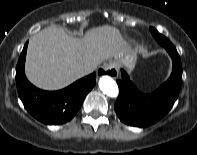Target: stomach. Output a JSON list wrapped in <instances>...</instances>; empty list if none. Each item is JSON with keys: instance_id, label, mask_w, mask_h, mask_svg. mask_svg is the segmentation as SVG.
Returning a JSON list of instances; mask_svg holds the SVG:
<instances>
[{"instance_id": "1", "label": "stomach", "mask_w": 197, "mask_h": 155, "mask_svg": "<svg viewBox=\"0 0 197 155\" xmlns=\"http://www.w3.org/2000/svg\"><path fill=\"white\" fill-rule=\"evenodd\" d=\"M136 63V55L134 53H129L122 57L121 59L117 60L116 65L118 67L125 66L128 70H133Z\"/></svg>"}]
</instances>
